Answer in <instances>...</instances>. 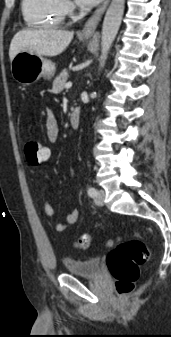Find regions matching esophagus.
<instances>
[{
  "instance_id": "1",
  "label": "esophagus",
  "mask_w": 171,
  "mask_h": 337,
  "mask_svg": "<svg viewBox=\"0 0 171 337\" xmlns=\"http://www.w3.org/2000/svg\"><path fill=\"white\" fill-rule=\"evenodd\" d=\"M110 0H104V2L102 3V5L93 13V15L88 19V21L86 22V24L84 25V28L82 30V34L85 36H89L92 35L99 22L102 19V16L109 4Z\"/></svg>"
}]
</instances>
